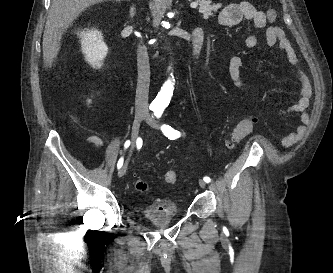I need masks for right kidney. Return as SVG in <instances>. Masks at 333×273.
I'll use <instances>...</instances> for the list:
<instances>
[{
  "mask_svg": "<svg viewBox=\"0 0 333 273\" xmlns=\"http://www.w3.org/2000/svg\"><path fill=\"white\" fill-rule=\"evenodd\" d=\"M82 53L85 60L96 69L103 65V60L107 56L108 47L103 40V35L97 29L83 31L80 34Z\"/></svg>",
  "mask_w": 333,
  "mask_h": 273,
  "instance_id": "ca27d5eb",
  "label": "right kidney"
}]
</instances>
